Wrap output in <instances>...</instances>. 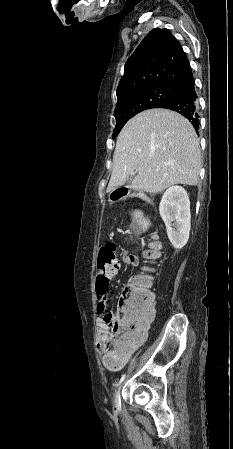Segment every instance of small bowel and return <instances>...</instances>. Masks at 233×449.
I'll use <instances>...</instances> for the list:
<instances>
[{"mask_svg":"<svg viewBox=\"0 0 233 449\" xmlns=\"http://www.w3.org/2000/svg\"><path fill=\"white\" fill-rule=\"evenodd\" d=\"M120 261L128 266H131V267H136L138 265L137 257L131 253L121 254ZM119 268H120V262H118V265L116 267L108 269L109 279H112L117 275ZM107 307H108V304H107V295H106L100 302H98V305H97L98 314L103 316V318H104L105 314L107 313ZM152 317H153V314L148 315L146 320H144L142 325L139 327L135 337L124 343L123 349L120 352L123 353L125 363L133 355V353L137 350V348L139 346H141L144 343V341L146 340L147 328L149 325V321L152 319ZM99 329H100V331H99V337H98V350L100 353L104 354L106 344L109 343L110 341H112L113 345L116 347V345H115L116 340L110 335L109 326L107 325L105 319L100 321Z\"/></svg>","mask_w":233,"mask_h":449,"instance_id":"1","label":"small bowel"}]
</instances>
